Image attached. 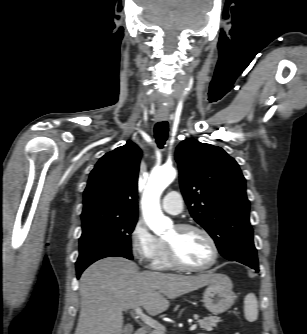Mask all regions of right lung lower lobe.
I'll return each mask as SVG.
<instances>
[{"label": "right lung lower lobe", "mask_w": 307, "mask_h": 334, "mask_svg": "<svg viewBox=\"0 0 307 334\" xmlns=\"http://www.w3.org/2000/svg\"><path fill=\"white\" fill-rule=\"evenodd\" d=\"M83 272V270L77 271V278L80 277L81 273Z\"/></svg>", "instance_id": "obj_1"}]
</instances>
